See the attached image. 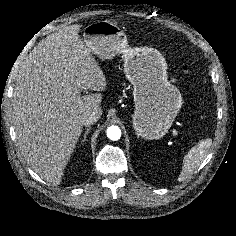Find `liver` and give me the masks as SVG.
<instances>
[{
    "instance_id": "1",
    "label": "liver",
    "mask_w": 236,
    "mask_h": 236,
    "mask_svg": "<svg viewBox=\"0 0 236 236\" xmlns=\"http://www.w3.org/2000/svg\"><path fill=\"white\" fill-rule=\"evenodd\" d=\"M81 25L40 41L22 63L13 91L16 139L27 164L56 186L82 133V115L102 114L106 78L78 35ZM97 91L81 95V90Z\"/></svg>"
}]
</instances>
